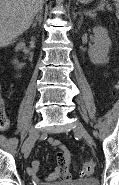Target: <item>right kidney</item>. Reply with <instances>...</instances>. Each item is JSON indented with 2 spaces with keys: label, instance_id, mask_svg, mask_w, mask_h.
I'll use <instances>...</instances> for the list:
<instances>
[{
  "label": "right kidney",
  "instance_id": "1",
  "mask_svg": "<svg viewBox=\"0 0 119 185\" xmlns=\"http://www.w3.org/2000/svg\"><path fill=\"white\" fill-rule=\"evenodd\" d=\"M24 46H25V43L24 42H20L19 44H17L15 50L18 51V50L22 49ZM13 64L16 65L17 69H21L24 66V64H19L17 59L13 60Z\"/></svg>",
  "mask_w": 119,
  "mask_h": 185
}]
</instances>
